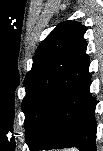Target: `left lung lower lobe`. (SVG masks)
I'll list each match as a JSON object with an SVG mask.
<instances>
[{
  "mask_svg": "<svg viewBox=\"0 0 103 151\" xmlns=\"http://www.w3.org/2000/svg\"><path fill=\"white\" fill-rule=\"evenodd\" d=\"M86 48L82 37L31 81L24 122L30 150L96 151V100Z\"/></svg>",
  "mask_w": 103,
  "mask_h": 151,
  "instance_id": "obj_1",
  "label": "left lung lower lobe"
}]
</instances>
